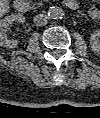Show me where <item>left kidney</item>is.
I'll return each mask as SVG.
<instances>
[{
  "mask_svg": "<svg viewBox=\"0 0 100 118\" xmlns=\"http://www.w3.org/2000/svg\"><path fill=\"white\" fill-rule=\"evenodd\" d=\"M90 44H91V47L94 49V50H99L100 48V32L99 31H96L95 33H93L90 37Z\"/></svg>",
  "mask_w": 100,
  "mask_h": 118,
  "instance_id": "1",
  "label": "left kidney"
}]
</instances>
